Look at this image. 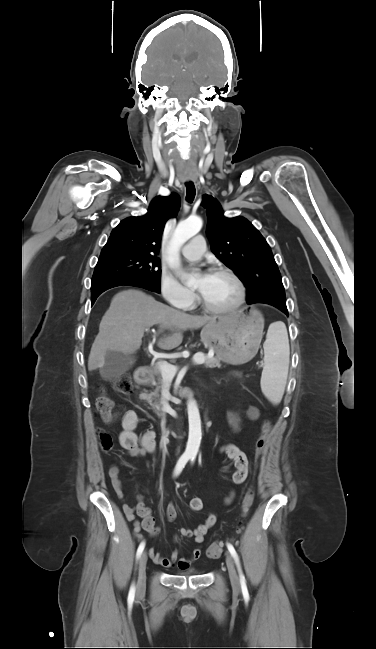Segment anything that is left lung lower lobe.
Listing matches in <instances>:
<instances>
[{"label":"left lung lower lobe","mask_w":376,"mask_h":649,"mask_svg":"<svg viewBox=\"0 0 376 649\" xmlns=\"http://www.w3.org/2000/svg\"><path fill=\"white\" fill-rule=\"evenodd\" d=\"M270 305H273V306L277 307L278 309H280L283 313H285L288 316V310H287L286 306L278 304V303H273V304H270Z\"/></svg>","instance_id":"0a47b994"}]
</instances>
